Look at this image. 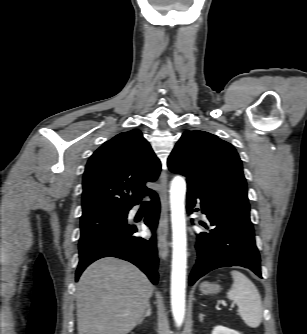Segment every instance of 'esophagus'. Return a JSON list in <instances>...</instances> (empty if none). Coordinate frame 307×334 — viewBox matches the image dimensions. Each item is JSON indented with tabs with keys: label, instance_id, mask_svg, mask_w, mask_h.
<instances>
[{
	"label": "esophagus",
	"instance_id": "34e87169",
	"mask_svg": "<svg viewBox=\"0 0 307 334\" xmlns=\"http://www.w3.org/2000/svg\"><path fill=\"white\" fill-rule=\"evenodd\" d=\"M160 200H161V214L159 220V228H158V248L159 254L163 259H166L169 254V248L171 243L168 239L169 233V224H168V176L166 171H162L160 175Z\"/></svg>",
	"mask_w": 307,
	"mask_h": 334
}]
</instances>
